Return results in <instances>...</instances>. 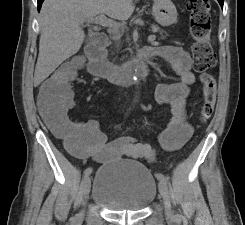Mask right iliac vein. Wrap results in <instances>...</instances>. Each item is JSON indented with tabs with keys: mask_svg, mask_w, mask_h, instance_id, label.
<instances>
[{
	"mask_svg": "<svg viewBox=\"0 0 245 225\" xmlns=\"http://www.w3.org/2000/svg\"><path fill=\"white\" fill-rule=\"evenodd\" d=\"M90 188H91V178L89 176H86L83 180V194L85 196V198L87 197V195L90 192ZM83 211H81L78 216L76 217V219H81L83 217Z\"/></svg>",
	"mask_w": 245,
	"mask_h": 225,
	"instance_id": "63e3f726",
	"label": "right iliac vein"
}]
</instances>
